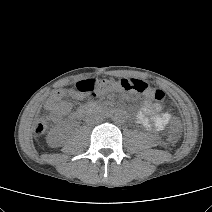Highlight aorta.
<instances>
[{"mask_svg": "<svg viewBox=\"0 0 212 212\" xmlns=\"http://www.w3.org/2000/svg\"><path fill=\"white\" fill-rule=\"evenodd\" d=\"M122 118H123V116L119 112L115 113L114 116H113V120L115 122H117V123L121 122L122 121Z\"/></svg>", "mask_w": 212, "mask_h": 212, "instance_id": "aorta-1", "label": "aorta"}]
</instances>
